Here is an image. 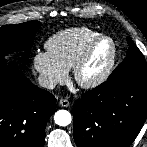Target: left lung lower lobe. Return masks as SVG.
<instances>
[{
	"mask_svg": "<svg viewBox=\"0 0 147 147\" xmlns=\"http://www.w3.org/2000/svg\"><path fill=\"white\" fill-rule=\"evenodd\" d=\"M77 147H129L147 118V77L108 78L73 109Z\"/></svg>",
	"mask_w": 147,
	"mask_h": 147,
	"instance_id": "0a47b994",
	"label": "left lung lower lobe"
}]
</instances>
